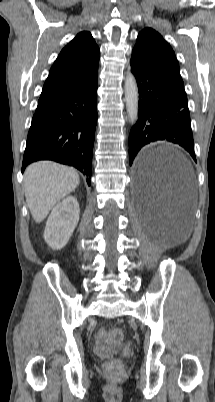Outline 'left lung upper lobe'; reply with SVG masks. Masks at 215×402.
Wrapping results in <instances>:
<instances>
[{"instance_id": "obj_1", "label": "left lung upper lobe", "mask_w": 215, "mask_h": 402, "mask_svg": "<svg viewBox=\"0 0 215 402\" xmlns=\"http://www.w3.org/2000/svg\"><path fill=\"white\" fill-rule=\"evenodd\" d=\"M130 62L161 73L184 86L174 51L152 28L146 27L139 32Z\"/></svg>"}]
</instances>
